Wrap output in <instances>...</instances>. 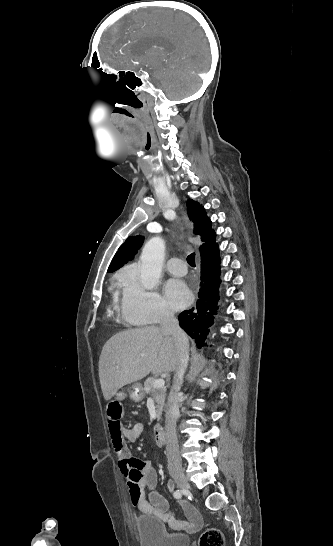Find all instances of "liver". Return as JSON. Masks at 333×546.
<instances>
[{
  "label": "liver",
  "instance_id": "1",
  "mask_svg": "<svg viewBox=\"0 0 333 546\" xmlns=\"http://www.w3.org/2000/svg\"><path fill=\"white\" fill-rule=\"evenodd\" d=\"M178 352L174 338L159 327L148 326L124 331L111 337L99 358V379L105 400L127 384L149 373L175 371Z\"/></svg>",
  "mask_w": 333,
  "mask_h": 546
}]
</instances>
